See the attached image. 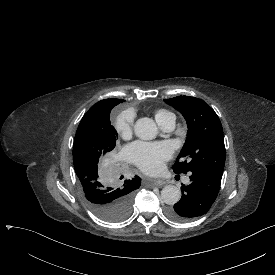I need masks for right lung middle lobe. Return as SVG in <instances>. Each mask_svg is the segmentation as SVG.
<instances>
[{
  "label": "right lung middle lobe",
  "instance_id": "dd1d6c3e",
  "mask_svg": "<svg viewBox=\"0 0 275 275\" xmlns=\"http://www.w3.org/2000/svg\"><path fill=\"white\" fill-rule=\"evenodd\" d=\"M110 111L84 115L74 139L73 164L87 205L99 217L119 221L129 214L141 179L129 180Z\"/></svg>",
  "mask_w": 275,
  "mask_h": 275
}]
</instances>
